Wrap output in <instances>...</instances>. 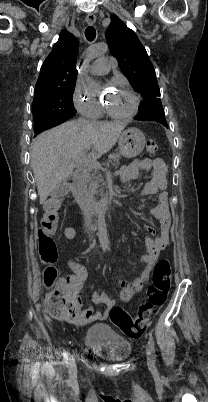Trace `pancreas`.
<instances>
[{"label":"pancreas","instance_id":"1","mask_svg":"<svg viewBox=\"0 0 208 402\" xmlns=\"http://www.w3.org/2000/svg\"><path fill=\"white\" fill-rule=\"evenodd\" d=\"M109 162L113 160V166H119V160L121 158V154H110L108 156ZM86 174V184L82 190H79V196H83V194H92V196H104V188H107L106 184L103 182V178L101 174H98L97 170H87L84 172Z\"/></svg>","mask_w":208,"mask_h":402}]
</instances>
